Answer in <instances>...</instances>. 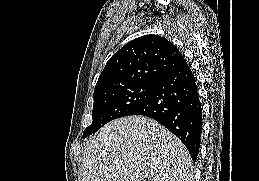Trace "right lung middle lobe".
I'll return each mask as SVG.
<instances>
[{
	"label": "right lung middle lobe",
	"instance_id": "right-lung-middle-lobe-1",
	"mask_svg": "<svg viewBox=\"0 0 259 181\" xmlns=\"http://www.w3.org/2000/svg\"><path fill=\"white\" fill-rule=\"evenodd\" d=\"M154 88L155 83H135L95 93L93 122L84 130L83 138L95 133L111 120L131 115L149 99Z\"/></svg>",
	"mask_w": 259,
	"mask_h": 181
}]
</instances>
